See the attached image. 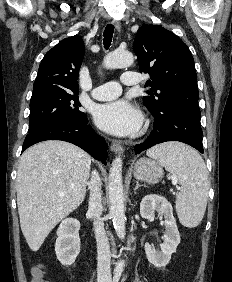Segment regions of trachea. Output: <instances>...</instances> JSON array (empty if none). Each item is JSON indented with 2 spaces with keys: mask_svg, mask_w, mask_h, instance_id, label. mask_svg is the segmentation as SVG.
Listing matches in <instances>:
<instances>
[{
  "mask_svg": "<svg viewBox=\"0 0 232 282\" xmlns=\"http://www.w3.org/2000/svg\"><path fill=\"white\" fill-rule=\"evenodd\" d=\"M113 33H114V26L112 24H108L105 27L104 34H103L104 36L103 44H104L105 49H108L110 47Z\"/></svg>",
  "mask_w": 232,
  "mask_h": 282,
  "instance_id": "3493384b",
  "label": "trachea"
}]
</instances>
